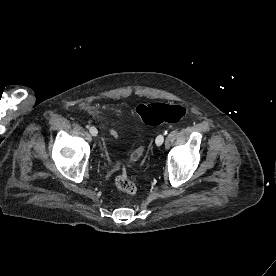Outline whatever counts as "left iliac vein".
<instances>
[{
	"label": "left iliac vein",
	"instance_id": "4c4485c4",
	"mask_svg": "<svg viewBox=\"0 0 276 276\" xmlns=\"http://www.w3.org/2000/svg\"><path fill=\"white\" fill-rule=\"evenodd\" d=\"M155 142L158 146L162 145L164 142V135L163 134L158 135Z\"/></svg>",
	"mask_w": 276,
	"mask_h": 276
}]
</instances>
